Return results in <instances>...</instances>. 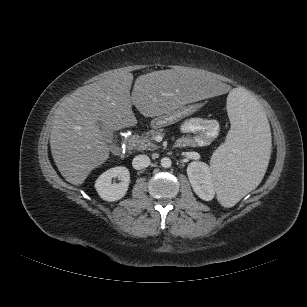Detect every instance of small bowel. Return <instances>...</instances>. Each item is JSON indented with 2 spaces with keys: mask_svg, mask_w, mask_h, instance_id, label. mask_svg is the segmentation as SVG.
I'll return each mask as SVG.
<instances>
[{
  "mask_svg": "<svg viewBox=\"0 0 307 307\" xmlns=\"http://www.w3.org/2000/svg\"><path fill=\"white\" fill-rule=\"evenodd\" d=\"M181 130L187 135L179 141L183 146H205L219 133V123L214 119L191 118L181 124Z\"/></svg>",
  "mask_w": 307,
  "mask_h": 307,
  "instance_id": "1",
  "label": "small bowel"
}]
</instances>
